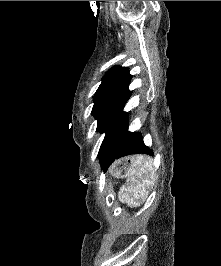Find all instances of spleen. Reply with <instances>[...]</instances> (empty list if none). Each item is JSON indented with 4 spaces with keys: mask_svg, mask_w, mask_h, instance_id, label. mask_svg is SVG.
Listing matches in <instances>:
<instances>
[{
    "mask_svg": "<svg viewBox=\"0 0 221 266\" xmlns=\"http://www.w3.org/2000/svg\"><path fill=\"white\" fill-rule=\"evenodd\" d=\"M131 161L133 169L129 174L124 199L128 204L137 206L147 199L155 184L157 174L151 157L136 155Z\"/></svg>",
    "mask_w": 221,
    "mask_h": 266,
    "instance_id": "3e777b00",
    "label": "spleen"
}]
</instances>
